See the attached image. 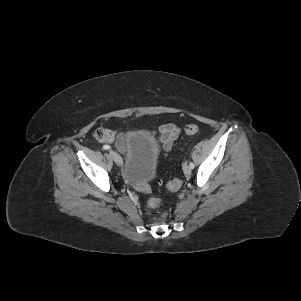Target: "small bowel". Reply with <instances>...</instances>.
I'll return each instance as SVG.
<instances>
[{
	"mask_svg": "<svg viewBox=\"0 0 301 301\" xmlns=\"http://www.w3.org/2000/svg\"><path fill=\"white\" fill-rule=\"evenodd\" d=\"M179 135L180 129L174 124H164L160 126L158 129V140L162 149L169 151ZM116 145L120 150H124V137L122 135L118 136Z\"/></svg>",
	"mask_w": 301,
	"mask_h": 301,
	"instance_id": "1",
	"label": "small bowel"
}]
</instances>
